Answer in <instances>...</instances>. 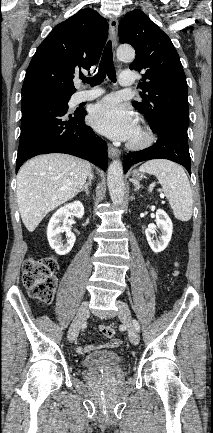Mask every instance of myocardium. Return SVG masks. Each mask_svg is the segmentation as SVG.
<instances>
[{
  "label": "myocardium",
  "mask_w": 213,
  "mask_h": 433,
  "mask_svg": "<svg viewBox=\"0 0 213 433\" xmlns=\"http://www.w3.org/2000/svg\"><path fill=\"white\" fill-rule=\"evenodd\" d=\"M139 137L136 139H130L127 146L133 150H141L149 147L155 141V135L153 131L146 125H139L137 127Z\"/></svg>",
  "instance_id": "myocardium-1"
}]
</instances>
